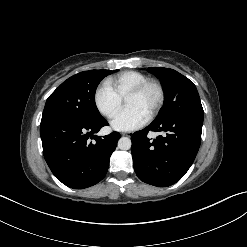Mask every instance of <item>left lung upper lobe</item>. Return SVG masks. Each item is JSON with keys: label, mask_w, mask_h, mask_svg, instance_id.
Instances as JSON below:
<instances>
[{"label": "left lung upper lobe", "mask_w": 247, "mask_h": 247, "mask_svg": "<svg viewBox=\"0 0 247 247\" xmlns=\"http://www.w3.org/2000/svg\"><path fill=\"white\" fill-rule=\"evenodd\" d=\"M148 71L160 79L165 92L164 106L153 122L161 123L178 114L204 115L200 97L192 81L170 68L150 67Z\"/></svg>", "instance_id": "obj_1"}]
</instances>
